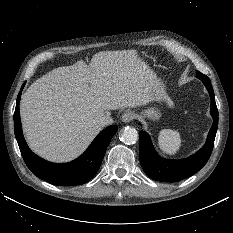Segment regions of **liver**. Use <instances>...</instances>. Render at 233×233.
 <instances>
[{
  "instance_id": "1",
  "label": "liver",
  "mask_w": 233,
  "mask_h": 233,
  "mask_svg": "<svg viewBox=\"0 0 233 233\" xmlns=\"http://www.w3.org/2000/svg\"><path fill=\"white\" fill-rule=\"evenodd\" d=\"M157 78L136 50L101 51L58 67L37 79L22 95L20 115L25 138L36 154L67 162L82 154L110 110L143 106L155 100Z\"/></svg>"
}]
</instances>
